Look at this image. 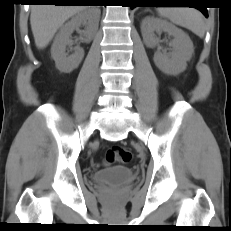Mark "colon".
I'll return each mask as SVG.
<instances>
[{
	"label": "colon",
	"mask_w": 231,
	"mask_h": 231,
	"mask_svg": "<svg viewBox=\"0 0 231 231\" xmlns=\"http://www.w3.org/2000/svg\"><path fill=\"white\" fill-rule=\"evenodd\" d=\"M132 160L130 151L121 146H112L106 152L105 164L111 165L114 163H129Z\"/></svg>",
	"instance_id": "1"
}]
</instances>
